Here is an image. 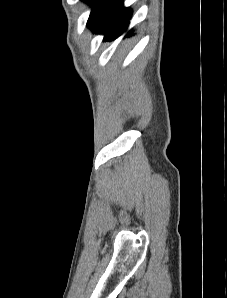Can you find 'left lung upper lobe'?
Segmentation results:
<instances>
[{
  "label": "left lung upper lobe",
  "instance_id": "left-lung-upper-lobe-1",
  "mask_svg": "<svg viewBox=\"0 0 227 298\" xmlns=\"http://www.w3.org/2000/svg\"><path fill=\"white\" fill-rule=\"evenodd\" d=\"M83 1L88 2L93 6L87 22V26L90 29H93L98 23V21L100 20L102 14L104 13L108 0H83Z\"/></svg>",
  "mask_w": 227,
  "mask_h": 298
}]
</instances>
